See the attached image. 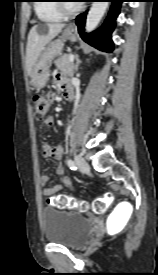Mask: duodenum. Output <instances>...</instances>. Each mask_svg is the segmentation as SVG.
<instances>
[{"label": "duodenum", "mask_w": 158, "mask_h": 275, "mask_svg": "<svg viewBox=\"0 0 158 275\" xmlns=\"http://www.w3.org/2000/svg\"><path fill=\"white\" fill-rule=\"evenodd\" d=\"M67 93H68V91H65V92H64V94H67Z\"/></svg>", "instance_id": "obj_1"}]
</instances>
